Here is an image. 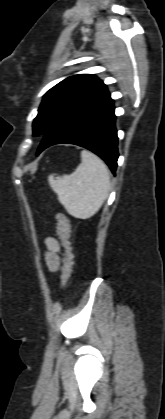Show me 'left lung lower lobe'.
<instances>
[{"label":"left lung lower lobe","mask_w":165,"mask_h":419,"mask_svg":"<svg viewBox=\"0 0 165 419\" xmlns=\"http://www.w3.org/2000/svg\"><path fill=\"white\" fill-rule=\"evenodd\" d=\"M115 118L113 100L106 89L70 110L44 136L37 155L55 144H75L100 156L115 174L118 159Z\"/></svg>","instance_id":"0a47b994"}]
</instances>
